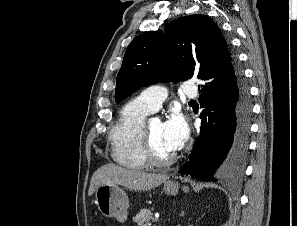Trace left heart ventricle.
<instances>
[{"instance_id": "left-heart-ventricle-1", "label": "left heart ventricle", "mask_w": 297, "mask_h": 226, "mask_svg": "<svg viewBox=\"0 0 297 226\" xmlns=\"http://www.w3.org/2000/svg\"><path fill=\"white\" fill-rule=\"evenodd\" d=\"M149 133L152 145L159 156L168 157L173 154L164 143L162 122L157 120L149 122Z\"/></svg>"}]
</instances>
